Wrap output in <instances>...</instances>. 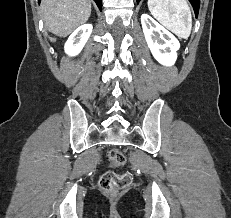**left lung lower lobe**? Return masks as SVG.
<instances>
[{
	"instance_id": "obj_1",
	"label": "left lung lower lobe",
	"mask_w": 231,
	"mask_h": 218,
	"mask_svg": "<svg viewBox=\"0 0 231 218\" xmlns=\"http://www.w3.org/2000/svg\"><path fill=\"white\" fill-rule=\"evenodd\" d=\"M189 1L192 4L194 12H195V15L197 17L198 16V12H199L200 0H189ZM139 2H140V0H137V3H139Z\"/></svg>"
}]
</instances>
